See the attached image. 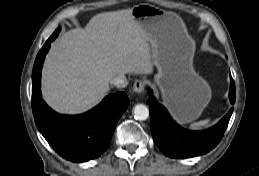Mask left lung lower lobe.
<instances>
[{"mask_svg":"<svg viewBox=\"0 0 259 176\" xmlns=\"http://www.w3.org/2000/svg\"><path fill=\"white\" fill-rule=\"evenodd\" d=\"M147 103L150 107L151 132L155 144L162 153L171 158H189L205 154L212 150L222 139L233 108L213 127L204 131H190L178 125L166 108L158 104L152 96ZM229 97L235 103V84L231 77Z\"/></svg>","mask_w":259,"mask_h":176,"instance_id":"1","label":"left lung lower lobe"}]
</instances>
